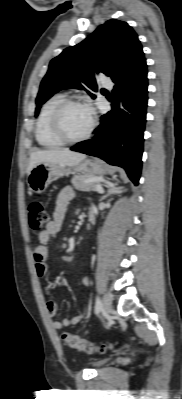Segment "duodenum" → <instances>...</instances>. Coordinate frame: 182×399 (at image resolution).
<instances>
[{"label":"duodenum","mask_w":182,"mask_h":399,"mask_svg":"<svg viewBox=\"0 0 182 399\" xmlns=\"http://www.w3.org/2000/svg\"><path fill=\"white\" fill-rule=\"evenodd\" d=\"M88 221L90 224H93L96 221V214L93 209H91L88 213Z\"/></svg>","instance_id":"410a0bca"}]
</instances>
